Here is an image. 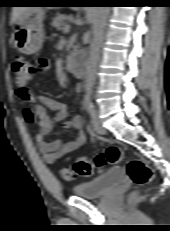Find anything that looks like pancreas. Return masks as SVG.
<instances>
[{"label":"pancreas","instance_id":"1","mask_svg":"<svg viewBox=\"0 0 170 231\" xmlns=\"http://www.w3.org/2000/svg\"><path fill=\"white\" fill-rule=\"evenodd\" d=\"M57 30H63L66 25H68V17L66 15H57L52 24Z\"/></svg>","mask_w":170,"mask_h":231}]
</instances>
